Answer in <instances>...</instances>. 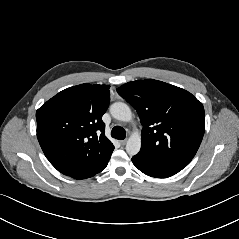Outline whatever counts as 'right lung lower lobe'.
<instances>
[{"label":"right lung lower lobe","instance_id":"98d812e1","mask_svg":"<svg viewBox=\"0 0 239 239\" xmlns=\"http://www.w3.org/2000/svg\"><path fill=\"white\" fill-rule=\"evenodd\" d=\"M107 164H108V162L100 169V170H98V171H96V172H94L93 174H91L90 176H88L87 178H89V177H92V176H94L95 174H97V173H99V172H101L106 166H107ZM82 179H85V178H82Z\"/></svg>","mask_w":239,"mask_h":239}]
</instances>
